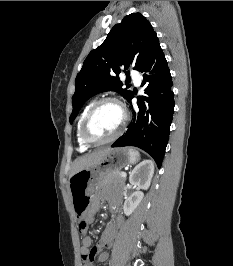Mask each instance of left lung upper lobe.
<instances>
[{"instance_id":"obj_1","label":"left lung upper lobe","mask_w":233,"mask_h":266,"mask_svg":"<svg viewBox=\"0 0 233 266\" xmlns=\"http://www.w3.org/2000/svg\"><path fill=\"white\" fill-rule=\"evenodd\" d=\"M157 45L156 32L140 13L127 15L120 24H116L105 41L89 53L77 74L70 123H73L84 103L95 94L116 91L128 100L132 91L127 89L130 85L124 88L125 84L118 77L121 67L128 69L133 65L139 71ZM125 73L129 76L128 72Z\"/></svg>"}]
</instances>
